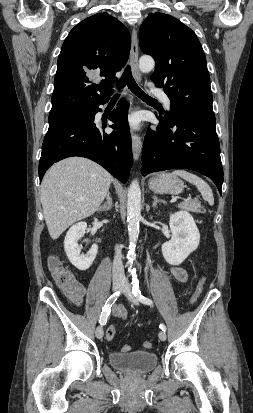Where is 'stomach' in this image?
<instances>
[{
	"label": "stomach",
	"mask_w": 253,
	"mask_h": 413,
	"mask_svg": "<svg viewBox=\"0 0 253 413\" xmlns=\"http://www.w3.org/2000/svg\"><path fill=\"white\" fill-rule=\"evenodd\" d=\"M149 187L159 194H180L184 189L183 181L173 173H161L149 180Z\"/></svg>",
	"instance_id": "stomach-1"
}]
</instances>
